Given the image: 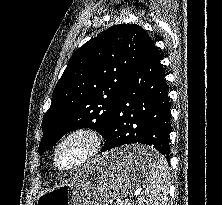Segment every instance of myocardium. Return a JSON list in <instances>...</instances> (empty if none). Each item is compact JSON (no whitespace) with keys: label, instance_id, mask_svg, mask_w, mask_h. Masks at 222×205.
I'll list each match as a JSON object with an SVG mask.
<instances>
[{"label":"myocardium","instance_id":"f54148a6","mask_svg":"<svg viewBox=\"0 0 222 205\" xmlns=\"http://www.w3.org/2000/svg\"><path fill=\"white\" fill-rule=\"evenodd\" d=\"M77 137L84 138L88 141L87 150L75 163L67 167H62L58 162V151L64 143ZM101 144L102 137L96 129L87 126L76 127L67 132L54 146L52 152L53 163L60 171L68 172L76 170L90 161L99 152Z\"/></svg>","mask_w":222,"mask_h":205}]
</instances>
